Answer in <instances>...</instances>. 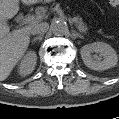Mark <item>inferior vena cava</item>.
I'll list each match as a JSON object with an SVG mask.
<instances>
[{"label": "inferior vena cava", "mask_w": 119, "mask_h": 119, "mask_svg": "<svg viewBox=\"0 0 119 119\" xmlns=\"http://www.w3.org/2000/svg\"><path fill=\"white\" fill-rule=\"evenodd\" d=\"M49 29V24L46 23V22H43V23H39L37 25H35L32 30H31V33L33 35H38V34H44L45 32H47Z\"/></svg>", "instance_id": "inferior-vena-cava-1"}]
</instances>
